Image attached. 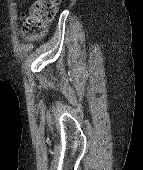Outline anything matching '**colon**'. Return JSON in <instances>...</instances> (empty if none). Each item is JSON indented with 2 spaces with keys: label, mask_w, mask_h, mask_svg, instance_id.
I'll return each instance as SVG.
<instances>
[{
  "label": "colon",
  "mask_w": 143,
  "mask_h": 170,
  "mask_svg": "<svg viewBox=\"0 0 143 170\" xmlns=\"http://www.w3.org/2000/svg\"><path fill=\"white\" fill-rule=\"evenodd\" d=\"M60 1L35 0L28 14L23 16V28L25 32L35 39L43 38L48 24L56 15L57 6Z\"/></svg>",
  "instance_id": "1"
}]
</instances>
